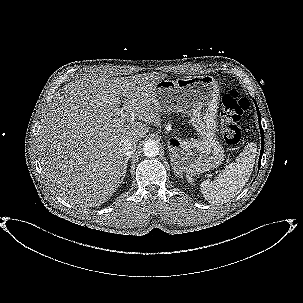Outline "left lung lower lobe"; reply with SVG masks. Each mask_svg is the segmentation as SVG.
I'll use <instances>...</instances> for the list:
<instances>
[{"label":"left lung lower lobe","instance_id":"0a47b994","mask_svg":"<svg viewBox=\"0 0 303 303\" xmlns=\"http://www.w3.org/2000/svg\"><path fill=\"white\" fill-rule=\"evenodd\" d=\"M256 108H257V111H258L259 126H260V133H261V143H262V145H261V153H260V158H259V163H258V167L260 168L261 158H262V154H263V151H264V132H263V129H262V126H261V114L259 112L257 104H256Z\"/></svg>","mask_w":303,"mask_h":303}]
</instances>
